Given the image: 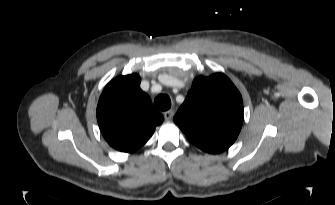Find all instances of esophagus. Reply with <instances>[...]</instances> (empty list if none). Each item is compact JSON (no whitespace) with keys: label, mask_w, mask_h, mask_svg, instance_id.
<instances>
[{"label":"esophagus","mask_w":335,"mask_h":205,"mask_svg":"<svg viewBox=\"0 0 335 205\" xmlns=\"http://www.w3.org/2000/svg\"><path fill=\"white\" fill-rule=\"evenodd\" d=\"M173 116H174V110L172 109L164 112V118L168 121L171 120Z\"/></svg>","instance_id":"obj_1"}]
</instances>
